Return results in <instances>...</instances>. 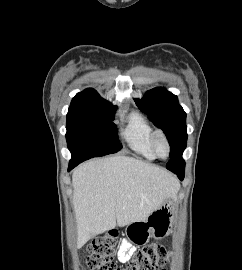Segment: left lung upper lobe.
Segmentation results:
<instances>
[{
	"instance_id": "1",
	"label": "left lung upper lobe",
	"mask_w": 242,
	"mask_h": 270,
	"mask_svg": "<svg viewBox=\"0 0 242 270\" xmlns=\"http://www.w3.org/2000/svg\"><path fill=\"white\" fill-rule=\"evenodd\" d=\"M149 119L161 128L170 145V161L166 168L175 174L184 173L185 162L182 153L186 148V113L179 105L177 96L165 88H154L142 99H134Z\"/></svg>"
}]
</instances>
